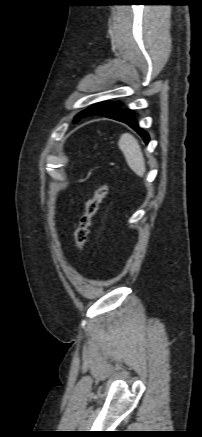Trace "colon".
<instances>
[{
    "label": "colon",
    "instance_id": "colon-1",
    "mask_svg": "<svg viewBox=\"0 0 202 437\" xmlns=\"http://www.w3.org/2000/svg\"><path fill=\"white\" fill-rule=\"evenodd\" d=\"M107 194L108 184L103 182L97 187L93 196L87 201L85 211L74 231L75 249L77 253H80L86 244L90 234L92 220L99 211L100 205Z\"/></svg>",
    "mask_w": 202,
    "mask_h": 437
}]
</instances>
